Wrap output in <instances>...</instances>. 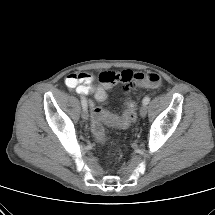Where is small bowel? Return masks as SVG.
Masks as SVG:
<instances>
[{
    "label": "small bowel",
    "mask_w": 215,
    "mask_h": 215,
    "mask_svg": "<svg viewBox=\"0 0 215 215\" xmlns=\"http://www.w3.org/2000/svg\"><path fill=\"white\" fill-rule=\"evenodd\" d=\"M133 72L124 70L122 72H103L100 74L101 86L96 89L93 85L94 75L90 72H79L68 75L65 78V84L68 88L74 89L80 95L95 93L98 101H103L106 97V91L114 84L132 82ZM128 88V86H127Z\"/></svg>",
    "instance_id": "small-bowel-1"
}]
</instances>
